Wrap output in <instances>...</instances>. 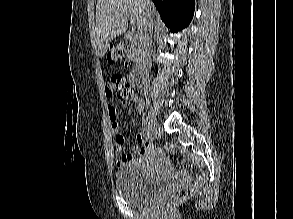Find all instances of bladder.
<instances>
[{
	"label": "bladder",
	"instance_id": "bladder-1",
	"mask_svg": "<svg viewBox=\"0 0 293 219\" xmlns=\"http://www.w3.org/2000/svg\"><path fill=\"white\" fill-rule=\"evenodd\" d=\"M114 182L118 195L129 204L141 205L164 190L168 179L149 176L140 166L126 165L116 170Z\"/></svg>",
	"mask_w": 293,
	"mask_h": 219
}]
</instances>
